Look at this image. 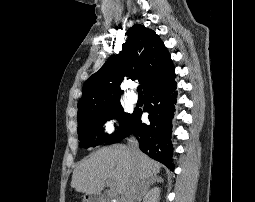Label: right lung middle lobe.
Returning <instances> with one entry per match:
<instances>
[{
    "label": "right lung middle lobe",
    "instance_id": "1",
    "mask_svg": "<svg viewBox=\"0 0 255 202\" xmlns=\"http://www.w3.org/2000/svg\"><path fill=\"white\" fill-rule=\"evenodd\" d=\"M115 118H118L121 124L119 132H115L112 135L103 134V124ZM132 119L133 113H125L120 103L92 110L77 117L78 138L81 141L80 146L88 148L90 146L101 145L104 142L110 144L119 142L129 130Z\"/></svg>",
    "mask_w": 255,
    "mask_h": 202
}]
</instances>
